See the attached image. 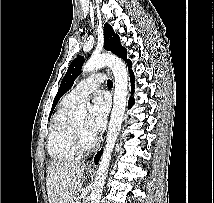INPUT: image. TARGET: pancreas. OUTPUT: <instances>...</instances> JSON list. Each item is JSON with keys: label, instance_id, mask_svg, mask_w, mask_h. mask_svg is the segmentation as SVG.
Returning <instances> with one entry per match:
<instances>
[{"label": "pancreas", "instance_id": "pancreas-1", "mask_svg": "<svg viewBox=\"0 0 214 203\" xmlns=\"http://www.w3.org/2000/svg\"><path fill=\"white\" fill-rule=\"evenodd\" d=\"M67 203H79L78 198L74 196V197L70 198Z\"/></svg>", "mask_w": 214, "mask_h": 203}]
</instances>
